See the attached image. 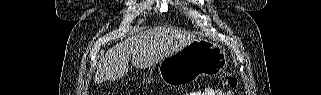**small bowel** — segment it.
<instances>
[{
  "instance_id": "c3829d8e",
  "label": "small bowel",
  "mask_w": 321,
  "mask_h": 95,
  "mask_svg": "<svg viewBox=\"0 0 321 95\" xmlns=\"http://www.w3.org/2000/svg\"><path fill=\"white\" fill-rule=\"evenodd\" d=\"M192 95H226V92L215 89H207L203 93H194Z\"/></svg>"
}]
</instances>
